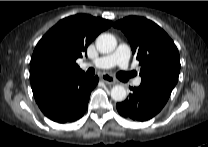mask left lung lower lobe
I'll return each mask as SVG.
<instances>
[{
	"label": "left lung lower lobe",
	"instance_id": "obj_1",
	"mask_svg": "<svg viewBox=\"0 0 208 147\" xmlns=\"http://www.w3.org/2000/svg\"><path fill=\"white\" fill-rule=\"evenodd\" d=\"M129 97L117 103L119 114L125 118L146 121L154 117L166 104L170 92L150 84H140L131 88Z\"/></svg>",
	"mask_w": 208,
	"mask_h": 147
}]
</instances>
